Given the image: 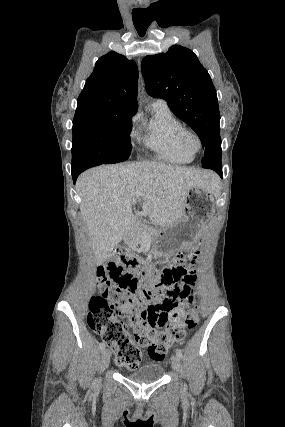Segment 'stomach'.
<instances>
[{
	"mask_svg": "<svg viewBox=\"0 0 285 427\" xmlns=\"http://www.w3.org/2000/svg\"><path fill=\"white\" fill-rule=\"evenodd\" d=\"M215 194L202 187L191 188L185 197L181 218L154 236L151 253L161 257L193 241L215 214Z\"/></svg>",
	"mask_w": 285,
	"mask_h": 427,
	"instance_id": "stomach-1",
	"label": "stomach"
}]
</instances>
